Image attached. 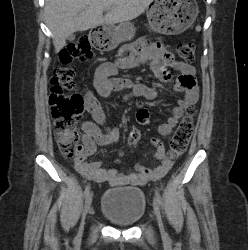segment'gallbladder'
Returning <instances> with one entry per match:
<instances>
[{"mask_svg": "<svg viewBox=\"0 0 248 250\" xmlns=\"http://www.w3.org/2000/svg\"><path fill=\"white\" fill-rule=\"evenodd\" d=\"M67 39H68L69 41H73V40L75 39V35H74V34H70V35L67 37Z\"/></svg>", "mask_w": 248, "mask_h": 250, "instance_id": "1", "label": "gallbladder"}]
</instances>
